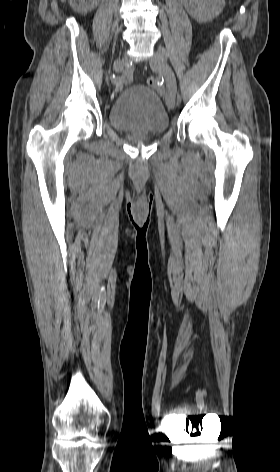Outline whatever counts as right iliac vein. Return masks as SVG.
Returning a JSON list of instances; mask_svg holds the SVG:
<instances>
[{
  "label": "right iliac vein",
  "instance_id": "1",
  "mask_svg": "<svg viewBox=\"0 0 280 472\" xmlns=\"http://www.w3.org/2000/svg\"><path fill=\"white\" fill-rule=\"evenodd\" d=\"M121 68H122V61H121V59L119 58V59H117V60L114 62L113 69H114L115 71H119V70H121Z\"/></svg>",
  "mask_w": 280,
  "mask_h": 472
}]
</instances>
